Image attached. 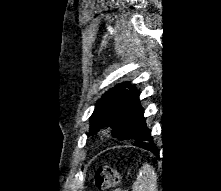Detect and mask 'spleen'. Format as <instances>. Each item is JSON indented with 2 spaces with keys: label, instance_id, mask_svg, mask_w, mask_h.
<instances>
[{
  "label": "spleen",
  "instance_id": "3e777b00",
  "mask_svg": "<svg viewBox=\"0 0 221 191\" xmlns=\"http://www.w3.org/2000/svg\"><path fill=\"white\" fill-rule=\"evenodd\" d=\"M157 174L153 166L144 164L133 183V191H157Z\"/></svg>",
  "mask_w": 221,
  "mask_h": 191
}]
</instances>
